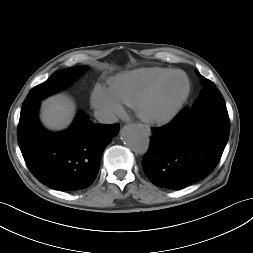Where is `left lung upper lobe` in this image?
<instances>
[{
  "mask_svg": "<svg viewBox=\"0 0 253 253\" xmlns=\"http://www.w3.org/2000/svg\"><path fill=\"white\" fill-rule=\"evenodd\" d=\"M196 74L203 81V88L199 97L195 100L193 106L189 110L191 112H201L212 107H226L223 96L220 91L215 88L214 83L204 78L197 71Z\"/></svg>",
  "mask_w": 253,
  "mask_h": 253,
  "instance_id": "1",
  "label": "left lung upper lobe"
}]
</instances>
